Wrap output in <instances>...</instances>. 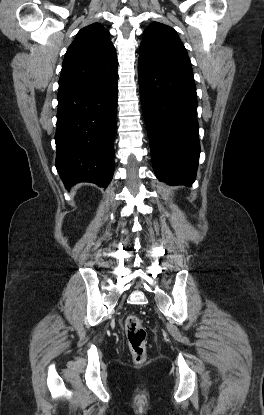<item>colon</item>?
<instances>
[{"instance_id": "colon-1", "label": "colon", "mask_w": 264, "mask_h": 415, "mask_svg": "<svg viewBox=\"0 0 264 415\" xmlns=\"http://www.w3.org/2000/svg\"><path fill=\"white\" fill-rule=\"evenodd\" d=\"M130 351L137 363H142L146 358V330L140 318L136 315H129L125 320Z\"/></svg>"}]
</instances>
